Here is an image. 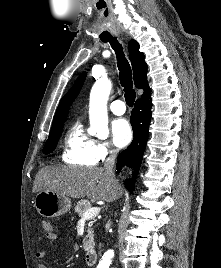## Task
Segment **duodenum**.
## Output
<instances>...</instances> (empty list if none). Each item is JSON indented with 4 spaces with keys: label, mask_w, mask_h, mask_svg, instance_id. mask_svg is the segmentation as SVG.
I'll use <instances>...</instances> for the list:
<instances>
[{
    "label": "duodenum",
    "mask_w": 221,
    "mask_h": 268,
    "mask_svg": "<svg viewBox=\"0 0 221 268\" xmlns=\"http://www.w3.org/2000/svg\"><path fill=\"white\" fill-rule=\"evenodd\" d=\"M98 253L95 248H90L86 253V263L88 265H94L97 262Z\"/></svg>",
    "instance_id": "duodenum-1"
}]
</instances>
